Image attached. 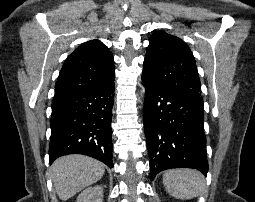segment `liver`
I'll return each mask as SVG.
<instances>
[{
  "instance_id": "6515ba94",
  "label": "liver",
  "mask_w": 255,
  "mask_h": 202,
  "mask_svg": "<svg viewBox=\"0 0 255 202\" xmlns=\"http://www.w3.org/2000/svg\"><path fill=\"white\" fill-rule=\"evenodd\" d=\"M104 165L84 155L58 158L51 166V178L59 198L66 201L84 188L100 180Z\"/></svg>"
}]
</instances>
